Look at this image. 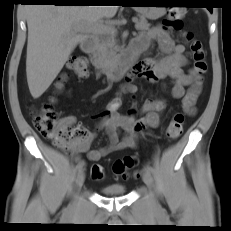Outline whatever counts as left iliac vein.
<instances>
[{
    "label": "left iliac vein",
    "mask_w": 231,
    "mask_h": 231,
    "mask_svg": "<svg viewBox=\"0 0 231 231\" xmlns=\"http://www.w3.org/2000/svg\"><path fill=\"white\" fill-rule=\"evenodd\" d=\"M143 181L149 189L151 190L153 189V186H154L153 178H152L151 173L147 169L143 170ZM152 199H153L154 204L157 205V201L153 193H152Z\"/></svg>",
    "instance_id": "obj_1"
}]
</instances>
